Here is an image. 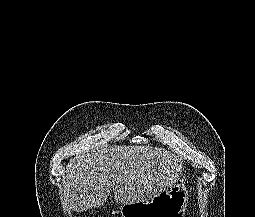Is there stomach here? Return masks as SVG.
<instances>
[{
  "mask_svg": "<svg viewBox=\"0 0 255 217\" xmlns=\"http://www.w3.org/2000/svg\"><path fill=\"white\" fill-rule=\"evenodd\" d=\"M188 204V190L184 184H174L144 202L123 204L122 217H183Z\"/></svg>",
  "mask_w": 255,
  "mask_h": 217,
  "instance_id": "0dacf381",
  "label": "stomach"
}]
</instances>
